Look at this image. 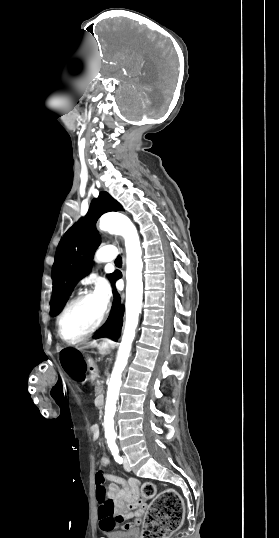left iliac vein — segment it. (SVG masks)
Listing matches in <instances>:
<instances>
[{
    "mask_svg": "<svg viewBox=\"0 0 279 538\" xmlns=\"http://www.w3.org/2000/svg\"><path fill=\"white\" fill-rule=\"evenodd\" d=\"M123 459H124L123 467H124V469H125L126 471L129 472V471L131 470L130 465H129V461H128V459H127L126 456H123Z\"/></svg>",
    "mask_w": 279,
    "mask_h": 538,
    "instance_id": "left-iliac-vein-1",
    "label": "left iliac vein"
}]
</instances>
